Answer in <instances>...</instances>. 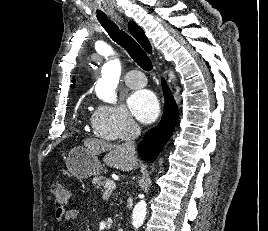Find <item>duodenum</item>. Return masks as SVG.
<instances>
[{"label": "duodenum", "mask_w": 268, "mask_h": 231, "mask_svg": "<svg viewBox=\"0 0 268 231\" xmlns=\"http://www.w3.org/2000/svg\"><path fill=\"white\" fill-rule=\"evenodd\" d=\"M118 231H125L123 228L118 229Z\"/></svg>", "instance_id": "duodenum-1"}]
</instances>
